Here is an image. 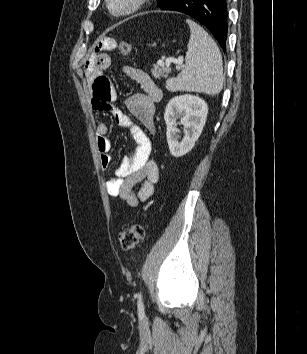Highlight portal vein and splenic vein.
I'll use <instances>...</instances> for the list:
<instances>
[{"instance_id": "1", "label": "portal vein and splenic vein", "mask_w": 307, "mask_h": 354, "mask_svg": "<svg viewBox=\"0 0 307 354\" xmlns=\"http://www.w3.org/2000/svg\"><path fill=\"white\" fill-rule=\"evenodd\" d=\"M158 63L161 66L166 64L167 67H169L172 63L177 65V66H181L182 63H183V57H179L178 59H175L173 57H169V58L166 59L165 63L163 61H159Z\"/></svg>"}]
</instances>
